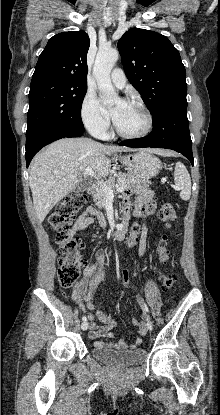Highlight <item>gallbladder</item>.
Listing matches in <instances>:
<instances>
[{
	"label": "gallbladder",
	"instance_id": "obj_1",
	"mask_svg": "<svg viewBox=\"0 0 220 415\" xmlns=\"http://www.w3.org/2000/svg\"><path fill=\"white\" fill-rule=\"evenodd\" d=\"M86 188H87V183L82 181L74 188L73 191L76 192V193H80V192L85 191Z\"/></svg>",
	"mask_w": 220,
	"mask_h": 415
}]
</instances>
